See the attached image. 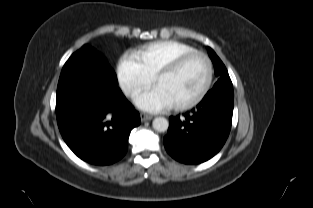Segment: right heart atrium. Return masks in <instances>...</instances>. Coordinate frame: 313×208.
<instances>
[{
	"instance_id": "1",
	"label": "right heart atrium",
	"mask_w": 313,
	"mask_h": 208,
	"mask_svg": "<svg viewBox=\"0 0 313 208\" xmlns=\"http://www.w3.org/2000/svg\"><path fill=\"white\" fill-rule=\"evenodd\" d=\"M117 78L122 91L127 96L134 95L154 81V75L142 65L135 54L125 55L120 59Z\"/></svg>"
}]
</instances>
